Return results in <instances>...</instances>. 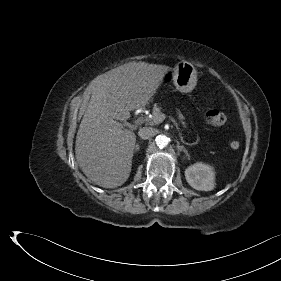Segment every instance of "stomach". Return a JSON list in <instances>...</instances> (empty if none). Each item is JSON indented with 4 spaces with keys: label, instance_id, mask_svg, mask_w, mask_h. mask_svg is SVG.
<instances>
[{
    "label": "stomach",
    "instance_id": "obj_1",
    "mask_svg": "<svg viewBox=\"0 0 281 281\" xmlns=\"http://www.w3.org/2000/svg\"><path fill=\"white\" fill-rule=\"evenodd\" d=\"M171 78L176 89L182 93L191 92L197 84V72L188 62H181L166 74Z\"/></svg>",
    "mask_w": 281,
    "mask_h": 281
}]
</instances>
